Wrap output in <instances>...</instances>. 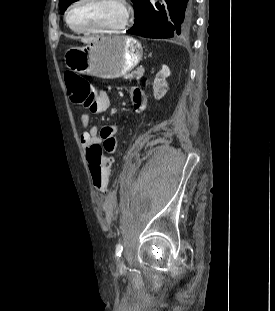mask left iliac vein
Returning a JSON list of instances; mask_svg holds the SVG:
<instances>
[{
    "label": "left iliac vein",
    "instance_id": "4c4485c4",
    "mask_svg": "<svg viewBox=\"0 0 275 311\" xmlns=\"http://www.w3.org/2000/svg\"><path fill=\"white\" fill-rule=\"evenodd\" d=\"M118 266H119L120 268H122V267H123V262H122L121 260H119V262H118Z\"/></svg>",
    "mask_w": 275,
    "mask_h": 311
}]
</instances>
